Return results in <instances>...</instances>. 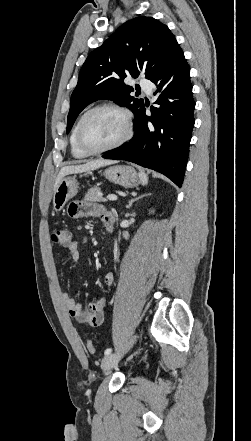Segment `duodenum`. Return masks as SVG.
I'll return each mask as SVG.
<instances>
[{
    "label": "duodenum",
    "mask_w": 251,
    "mask_h": 441,
    "mask_svg": "<svg viewBox=\"0 0 251 441\" xmlns=\"http://www.w3.org/2000/svg\"><path fill=\"white\" fill-rule=\"evenodd\" d=\"M106 230L111 233L114 229V220H108L105 222Z\"/></svg>",
    "instance_id": "obj_1"
}]
</instances>
